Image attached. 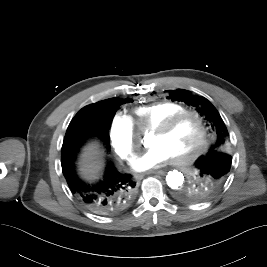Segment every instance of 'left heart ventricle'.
Here are the masks:
<instances>
[{
  "label": "left heart ventricle",
  "mask_w": 267,
  "mask_h": 267,
  "mask_svg": "<svg viewBox=\"0 0 267 267\" xmlns=\"http://www.w3.org/2000/svg\"><path fill=\"white\" fill-rule=\"evenodd\" d=\"M201 138V127L193 117L183 119L175 128L164 135L154 133L150 145H159L170 158H181L192 153Z\"/></svg>",
  "instance_id": "1"
}]
</instances>
